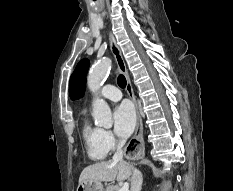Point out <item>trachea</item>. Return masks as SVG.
Masks as SVG:
<instances>
[{
	"label": "trachea",
	"mask_w": 233,
	"mask_h": 191,
	"mask_svg": "<svg viewBox=\"0 0 233 191\" xmlns=\"http://www.w3.org/2000/svg\"><path fill=\"white\" fill-rule=\"evenodd\" d=\"M117 82H118V85L121 87V88H125L126 87V78L124 77L123 74H120L117 78Z\"/></svg>",
	"instance_id": "1"
}]
</instances>
